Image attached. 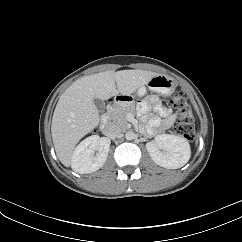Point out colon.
Masks as SVG:
<instances>
[{
	"instance_id": "5ec220e1",
	"label": "colon",
	"mask_w": 242,
	"mask_h": 242,
	"mask_svg": "<svg viewBox=\"0 0 242 242\" xmlns=\"http://www.w3.org/2000/svg\"><path fill=\"white\" fill-rule=\"evenodd\" d=\"M171 105L177 114L176 133L186 139H192L194 137V120L184 94L176 92L171 98Z\"/></svg>"
}]
</instances>
